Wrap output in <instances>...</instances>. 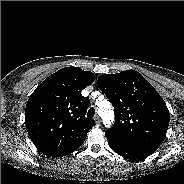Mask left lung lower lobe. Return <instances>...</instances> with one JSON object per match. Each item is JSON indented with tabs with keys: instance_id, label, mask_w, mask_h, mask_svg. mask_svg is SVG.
<instances>
[{
	"instance_id": "obj_1",
	"label": "left lung lower lobe",
	"mask_w": 184,
	"mask_h": 184,
	"mask_svg": "<svg viewBox=\"0 0 184 184\" xmlns=\"http://www.w3.org/2000/svg\"><path fill=\"white\" fill-rule=\"evenodd\" d=\"M105 136L111 149L124 158L133 160L144 159L152 154L145 149L121 141L110 134L105 133Z\"/></svg>"
}]
</instances>
